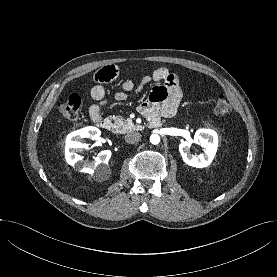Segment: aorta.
I'll list each match as a JSON object with an SVG mask.
<instances>
[{
    "instance_id": "1",
    "label": "aorta",
    "mask_w": 277,
    "mask_h": 277,
    "mask_svg": "<svg viewBox=\"0 0 277 277\" xmlns=\"http://www.w3.org/2000/svg\"><path fill=\"white\" fill-rule=\"evenodd\" d=\"M150 142L154 145L158 144L160 142V136L158 134H152L150 136Z\"/></svg>"
}]
</instances>
